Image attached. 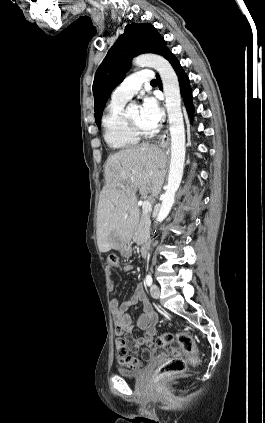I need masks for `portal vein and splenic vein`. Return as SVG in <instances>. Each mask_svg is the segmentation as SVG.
I'll return each mask as SVG.
<instances>
[{
	"label": "portal vein and splenic vein",
	"mask_w": 265,
	"mask_h": 423,
	"mask_svg": "<svg viewBox=\"0 0 265 423\" xmlns=\"http://www.w3.org/2000/svg\"><path fill=\"white\" fill-rule=\"evenodd\" d=\"M142 210L145 213L150 212L152 210V204H151V202L148 201V200H144L143 203H142Z\"/></svg>",
	"instance_id": "portal-vein-and-splenic-vein-1"
}]
</instances>
